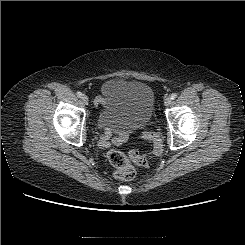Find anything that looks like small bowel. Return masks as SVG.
Here are the masks:
<instances>
[{
	"label": "small bowel",
	"instance_id": "1",
	"mask_svg": "<svg viewBox=\"0 0 245 245\" xmlns=\"http://www.w3.org/2000/svg\"><path fill=\"white\" fill-rule=\"evenodd\" d=\"M101 99H97L95 101L96 104L100 103ZM110 135V131L108 129H105L103 136L101 137L100 140V144L102 147L106 148L108 146H110L111 144L114 145H120L124 142L126 135L125 134H121L118 138L114 139L112 142L108 141V137Z\"/></svg>",
	"mask_w": 245,
	"mask_h": 245
}]
</instances>
